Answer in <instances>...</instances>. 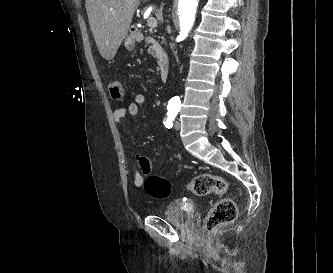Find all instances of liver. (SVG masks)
<instances>
[{
	"mask_svg": "<svg viewBox=\"0 0 333 273\" xmlns=\"http://www.w3.org/2000/svg\"><path fill=\"white\" fill-rule=\"evenodd\" d=\"M148 1V0H144ZM140 0H86L90 29L100 55L112 60L126 38Z\"/></svg>",
	"mask_w": 333,
	"mask_h": 273,
	"instance_id": "6515ba94",
	"label": "liver"
}]
</instances>
